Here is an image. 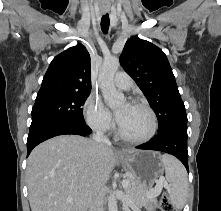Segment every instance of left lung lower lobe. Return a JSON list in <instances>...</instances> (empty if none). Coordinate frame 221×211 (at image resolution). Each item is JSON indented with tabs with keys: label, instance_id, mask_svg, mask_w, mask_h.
<instances>
[{
	"label": "left lung lower lobe",
	"instance_id": "left-lung-lower-lobe-1",
	"mask_svg": "<svg viewBox=\"0 0 221 211\" xmlns=\"http://www.w3.org/2000/svg\"><path fill=\"white\" fill-rule=\"evenodd\" d=\"M138 149L156 150L177 157L188 168L187 124H178L167 128L149 142L137 146Z\"/></svg>",
	"mask_w": 221,
	"mask_h": 211
}]
</instances>
